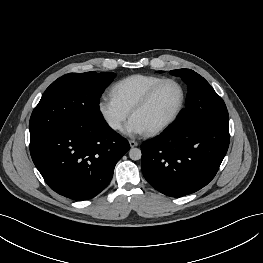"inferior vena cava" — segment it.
I'll list each match as a JSON object with an SVG mask.
<instances>
[{
  "label": "inferior vena cava",
  "mask_w": 263,
  "mask_h": 263,
  "mask_svg": "<svg viewBox=\"0 0 263 263\" xmlns=\"http://www.w3.org/2000/svg\"><path fill=\"white\" fill-rule=\"evenodd\" d=\"M109 125L113 128V129H119L120 128V123L118 121H112L109 123Z\"/></svg>",
  "instance_id": "inferior-vena-cava-1"
}]
</instances>
